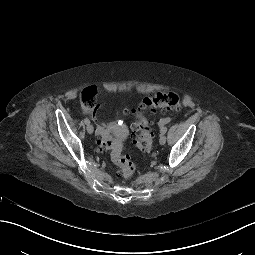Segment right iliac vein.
I'll list each match as a JSON object with an SVG mask.
<instances>
[{
	"label": "right iliac vein",
	"mask_w": 255,
	"mask_h": 255,
	"mask_svg": "<svg viewBox=\"0 0 255 255\" xmlns=\"http://www.w3.org/2000/svg\"><path fill=\"white\" fill-rule=\"evenodd\" d=\"M93 131H94L93 126H92L91 124H88V125H87V132H88L89 134H92Z\"/></svg>",
	"instance_id": "1"
}]
</instances>
